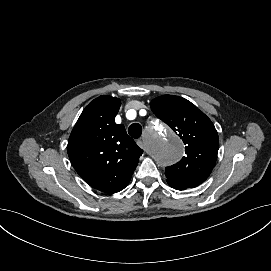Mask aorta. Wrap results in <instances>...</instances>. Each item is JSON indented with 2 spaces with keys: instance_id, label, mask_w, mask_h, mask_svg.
<instances>
[{
  "instance_id": "aorta-1",
  "label": "aorta",
  "mask_w": 271,
  "mask_h": 271,
  "mask_svg": "<svg viewBox=\"0 0 271 271\" xmlns=\"http://www.w3.org/2000/svg\"><path fill=\"white\" fill-rule=\"evenodd\" d=\"M146 140L153 158L161 165H173L183 155L182 143L162 125H152Z\"/></svg>"
}]
</instances>
